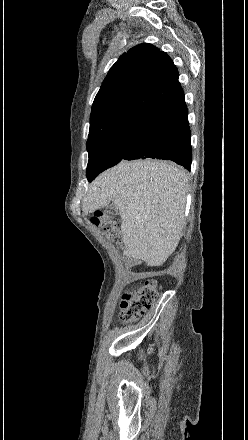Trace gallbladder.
<instances>
[{
	"label": "gallbladder",
	"instance_id": "gallbladder-1",
	"mask_svg": "<svg viewBox=\"0 0 248 440\" xmlns=\"http://www.w3.org/2000/svg\"><path fill=\"white\" fill-rule=\"evenodd\" d=\"M117 213V208L114 204L107 205L104 210L105 215H115Z\"/></svg>",
	"mask_w": 248,
	"mask_h": 440
}]
</instances>
